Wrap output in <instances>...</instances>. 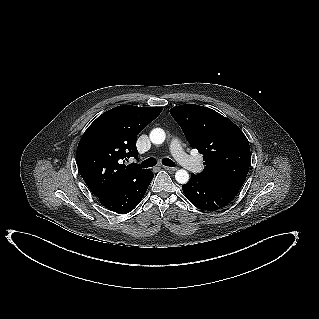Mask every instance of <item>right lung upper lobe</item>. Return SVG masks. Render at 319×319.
<instances>
[{
    "label": "right lung upper lobe",
    "instance_id": "obj_1",
    "mask_svg": "<svg viewBox=\"0 0 319 319\" xmlns=\"http://www.w3.org/2000/svg\"><path fill=\"white\" fill-rule=\"evenodd\" d=\"M162 111L161 107L122 105L100 115L85 131L77 147V166L92 193L101 198L145 169L134 157L137 135Z\"/></svg>",
    "mask_w": 319,
    "mask_h": 319
}]
</instances>
